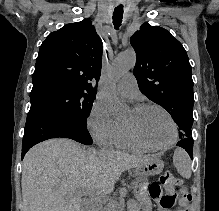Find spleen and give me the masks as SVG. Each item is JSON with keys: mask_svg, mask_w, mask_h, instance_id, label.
I'll list each match as a JSON object with an SVG mask.
<instances>
[{"mask_svg": "<svg viewBox=\"0 0 219 211\" xmlns=\"http://www.w3.org/2000/svg\"><path fill=\"white\" fill-rule=\"evenodd\" d=\"M173 163L182 177H191V159L182 147H176L173 155Z\"/></svg>", "mask_w": 219, "mask_h": 211, "instance_id": "1", "label": "spleen"}]
</instances>
